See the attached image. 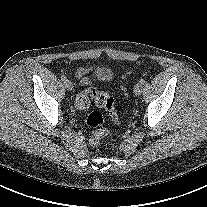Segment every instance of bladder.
Segmentation results:
<instances>
[{"mask_svg": "<svg viewBox=\"0 0 207 207\" xmlns=\"http://www.w3.org/2000/svg\"><path fill=\"white\" fill-rule=\"evenodd\" d=\"M113 72L109 67H99L96 70V77L99 81H109L112 79Z\"/></svg>", "mask_w": 207, "mask_h": 207, "instance_id": "31cf9c89", "label": "bladder"}]
</instances>
